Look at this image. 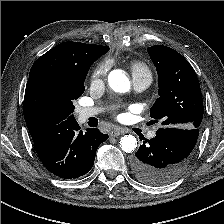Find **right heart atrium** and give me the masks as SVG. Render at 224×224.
I'll use <instances>...</instances> for the list:
<instances>
[{
  "label": "right heart atrium",
  "instance_id": "obj_1",
  "mask_svg": "<svg viewBox=\"0 0 224 224\" xmlns=\"http://www.w3.org/2000/svg\"><path fill=\"white\" fill-rule=\"evenodd\" d=\"M109 70V64L102 62L98 64L92 71L90 82L92 86L103 85L106 81Z\"/></svg>",
  "mask_w": 224,
  "mask_h": 224
}]
</instances>
